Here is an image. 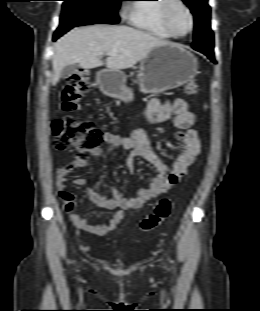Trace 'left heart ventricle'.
<instances>
[{
  "mask_svg": "<svg viewBox=\"0 0 260 311\" xmlns=\"http://www.w3.org/2000/svg\"><path fill=\"white\" fill-rule=\"evenodd\" d=\"M169 22L173 31L177 34H185L190 28L189 16L178 4L172 6L169 14Z\"/></svg>",
  "mask_w": 260,
  "mask_h": 311,
  "instance_id": "b2bd125f",
  "label": "left heart ventricle"
}]
</instances>
